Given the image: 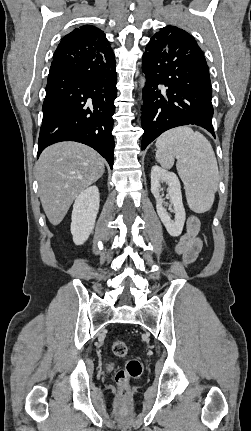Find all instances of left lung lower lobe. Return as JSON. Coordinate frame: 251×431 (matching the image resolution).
I'll return each instance as SVG.
<instances>
[{
  "label": "left lung lower lobe",
  "instance_id": "left-lung-lower-lobe-1",
  "mask_svg": "<svg viewBox=\"0 0 251 431\" xmlns=\"http://www.w3.org/2000/svg\"><path fill=\"white\" fill-rule=\"evenodd\" d=\"M142 69L146 75L142 150L177 126L198 125L215 137L209 69L193 37H152L142 57Z\"/></svg>",
  "mask_w": 251,
  "mask_h": 431
}]
</instances>
